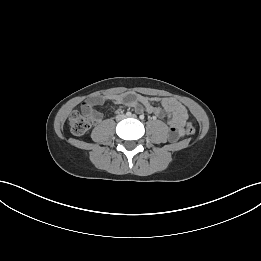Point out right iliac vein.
<instances>
[{
	"label": "right iliac vein",
	"mask_w": 261,
	"mask_h": 261,
	"mask_svg": "<svg viewBox=\"0 0 261 261\" xmlns=\"http://www.w3.org/2000/svg\"><path fill=\"white\" fill-rule=\"evenodd\" d=\"M123 118H124V115H122V114H120V115L117 116V119H118V120H121V119H123Z\"/></svg>",
	"instance_id": "63e3f726"
}]
</instances>
